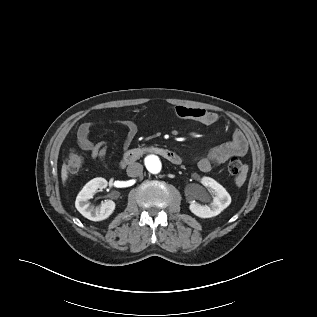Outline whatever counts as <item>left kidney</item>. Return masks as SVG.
I'll list each match as a JSON object with an SVG mask.
<instances>
[{
  "instance_id": "left-kidney-1",
  "label": "left kidney",
  "mask_w": 317,
  "mask_h": 317,
  "mask_svg": "<svg viewBox=\"0 0 317 317\" xmlns=\"http://www.w3.org/2000/svg\"><path fill=\"white\" fill-rule=\"evenodd\" d=\"M201 183L215 197L209 205H202L196 201H191L189 206L190 211L200 218H211L219 215L230 205L231 196L221 184L210 177H203Z\"/></svg>"
}]
</instances>
